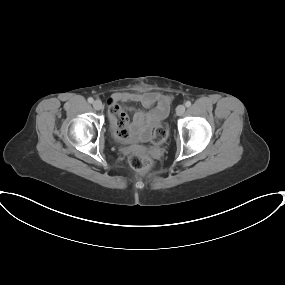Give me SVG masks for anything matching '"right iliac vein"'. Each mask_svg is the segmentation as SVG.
<instances>
[{"instance_id": "right-iliac-vein-1", "label": "right iliac vein", "mask_w": 285, "mask_h": 285, "mask_svg": "<svg viewBox=\"0 0 285 285\" xmlns=\"http://www.w3.org/2000/svg\"><path fill=\"white\" fill-rule=\"evenodd\" d=\"M93 107L95 110H101L103 108V104L100 100H96L93 102Z\"/></svg>"}]
</instances>
